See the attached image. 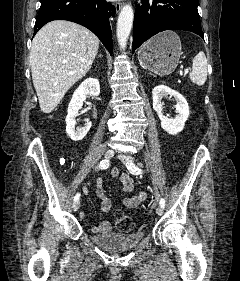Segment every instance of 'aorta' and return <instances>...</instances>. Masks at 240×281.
I'll list each match as a JSON object with an SVG mask.
<instances>
[{"label":"aorta","mask_w":240,"mask_h":281,"mask_svg":"<svg viewBox=\"0 0 240 281\" xmlns=\"http://www.w3.org/2000/svg\"><path fill=\"white\" fill-rule=\"evenodd\" d=\"M133 18L134 12L132 6L130 4L124 5L119 13L116 29L117 40L122 50L126 48L127 40L132 29Z\"/></svg>","instance_id":"1"}]
</instances>
